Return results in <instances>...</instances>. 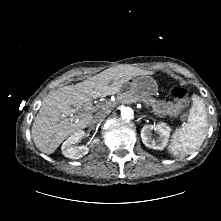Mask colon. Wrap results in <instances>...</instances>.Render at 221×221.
<instances>
[{"label": "colon", "instance_id": "colon-1", "mask_svg": "<svg viewBox=\"0 0 221 221\" xmlns=\"http://www.w3.org/2000/svg\"><path fill=\"white\" fill-rule=\"evenodd\" d=\"M171 96L179 102H187V92L183 87H174L170 91Z\"/></svg>", "mask_w": 221, "mask_h": 221}]
</instances>
